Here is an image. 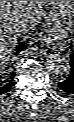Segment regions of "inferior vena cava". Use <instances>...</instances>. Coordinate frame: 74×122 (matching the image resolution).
Here are the masks:
<instances>
[{
  "mask_svg": "<svg viewBox=\"0 0 74 122\" xmlns=\"http://www.w3.org/2000/svg\"><path fill=\"white\" fill-rule=\"evenodd\" d=\"M28 25L27 24H24L22 27H21V29H20V31H24V29L27 27Z\"/></svg>",
  "mask_w": 74,
  "mask_h": 122,
  "instance_id": "602c4592",
  "label": "inferior vena cava"
}]
</instances>
